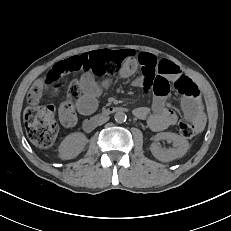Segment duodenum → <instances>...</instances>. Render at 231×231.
Returning a JSON list of instances; mask_svg holds the SVG:
<instances>
[{
    "label": "duodenum",
    "mask_w": 231,
    "mask_h": 231,
    "mask_svg": "<svg viewBox=\"0 0 231 231\" xmlns=\"http://www.w3.org/2000/svg\"><path fill=\"white\" fill-rule=\"evenodd\" d=\"M125 108L122 106H108L102 109L97 114L93 115L92 117L86 119L83 123V129L85 131H91L96 128L102 121L103 118L109 117L117 112L124 111Z\"/></svg>",
    "instance_id": "1"
}]
</instances>
